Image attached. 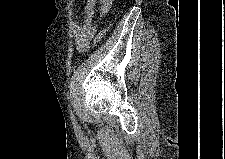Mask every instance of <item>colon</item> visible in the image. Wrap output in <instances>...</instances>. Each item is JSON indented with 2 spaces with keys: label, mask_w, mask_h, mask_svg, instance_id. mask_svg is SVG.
<instances>
[{
  "label": "colon",
  "mask_w": 225,
  "mask_h": 159,
  "mask_svg": "<svg viewBox=\"0 0 225 159\" xmlns=\"http://www.w3.org/2000/svg\"><path fill=\"white\" fill-rule=\"evenodd\" d=\"M110 30V26L107 27V28H104L103 30H101L95 37V40L93 42V46L99 42L107 33L108 31Z\"/></svg>",
  "instance_id": "obj_1"
}]
</instances>
